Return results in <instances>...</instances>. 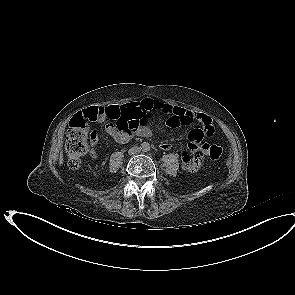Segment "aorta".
<instances>
[{
    "label": "aorta",
    "instance_id": "1",
    "mask_svg": "<svg viewBox=\"0 0 295 295\" xmlns=\"http://www.w3.org/2000/svg\"><path fill=\"white\" fill-rule=\"evenodd\" d=\"M141 149H142L143 151H149V150H150V144L147 143V142L142 143V145H141Z\"/></svg>",
    "mask_w": 295,
    "mask_h": 295
}]
</instances>
